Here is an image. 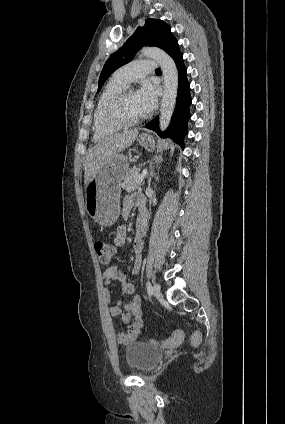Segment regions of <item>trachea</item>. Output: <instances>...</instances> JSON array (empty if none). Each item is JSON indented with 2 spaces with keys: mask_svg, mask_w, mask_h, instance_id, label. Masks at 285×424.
Masks as SVG:
<instances>
[{
  "mask_svg": "<svg viewBox=\"0 0 285 424\" xmlns=\"http://www.w3.org/2000/svg\"><path fill=\"white\" fill-rule=\"evenodd\" d=\"M155 72H156V73H161V69H160V68H157V69L155 70Z\"/></svg>",
  "mask_w": 285,
  "mask_h": 424,
  "instance_id": "3493384b",
  "label": "trachea"
}]
</instances>
